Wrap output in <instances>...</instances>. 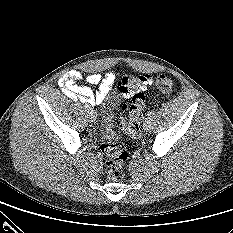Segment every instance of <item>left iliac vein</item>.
<instances>
[{"label": "left iliac vein", "instance_id": "1", "mask_svg": "<svg viewBox=\"0 0 233 233\" xmlns=\"http://www.w3.org/2000/svg\"><path fill=\"white\" fill-rule=\"evenodd\" d=\"M152 127V120L150 117L146 118L144 124H143V129L145 131H149Z\"/></svg>", "mask_w": 233, "mask_h": 233}]
</instances>
